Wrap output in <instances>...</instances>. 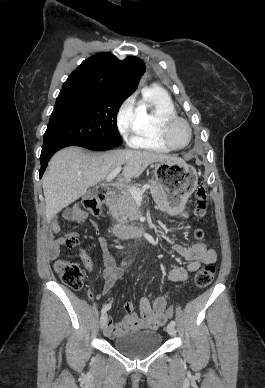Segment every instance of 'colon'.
<instances>
[{"label":"colon","mask_w":265,"mask_h":388,"mask_svg":"<svg viewBox=\"0 0 265 388\" xmlns=\"http://www.w3.org/2000/svg\"><path fill=\"white\" fill-rule=\"evenodd\" d=\"M105 195L98 192L91 196L85 197L81 205L91 215L97 216L101 213L104 204ZM208 208V196L203 184H200L195 192V215L197 218H202L206 214ZM195 237L203 238V233L196 230ZM54 269L61 278L62 282L73 290H80L83 287V272L80 267L71 261L59 259L54 263ZM215 267L212 264H206L195 275L194 281L197 287L203 288L208 286L214 279ZM174 314L173 306H169L165 315L171 318Z\"/></svg>","instance_id":"5ec220e1"}]
</instances>
